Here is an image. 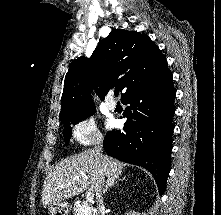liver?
<instances>
[{
  "mask_svg": "<svg viewBox=\"0 0 221 215\" xmlns=\"http://www.w3.org/2000/svg\"><path fill=\"white\" fill-rule=\"evenodd\" d=\"M100 166L104 175L109 178L120 175L125 164L106 155L98 156L93 150L61 160L44 181L42 204L48 206L72 198L89 186L95 191L100 177Z\"/></svg>",
  "mask_w": 221,
  "mask_h": 215,
  "instance_id": "6515ba94",
  "label": "liver"
}]
</instances>
